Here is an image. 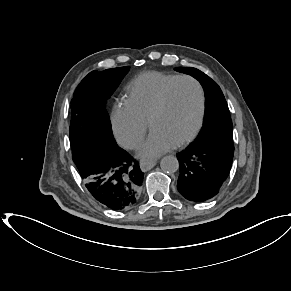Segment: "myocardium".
I'll list each match as a JSON object with an SVG mask.
<instances>
[{
    "label": "myocardium",
    "mask_w": 291,
    "mask_h": 291,
    "mask_svg": "<svg viewBox=\"0 0 291 291\" xmlns=\"http://www.w3.org/2000/svg\"><path fill=\"white\" fill-rule=\"evenodd\" d=\"M183 80L191 81L197 87L198 93H199V98H200V109H199V115H198V120H197L196 126L186 137H184L182 140H180L178 143H176V147H182V146L190 143L192 140H194L195 137L199 134V132L203 126V123H204L205 113H206V96H205V91H204L202 84L196 78H194L193 76H190V75H180V76H177L176 78H174L162 90V92L159 96V99H158L155 107L153 108V110L149 116V120H148L149 126L152 128L154 120L157 118V116L159 114H161L163 112V110L165 109V107L167 105L168 95H169L170 91L178 82L183 81Z\"/></svg>",
    "instance_id": "f54148a6"
}]
</instances>
